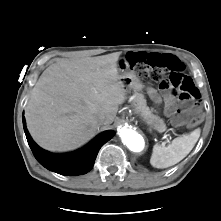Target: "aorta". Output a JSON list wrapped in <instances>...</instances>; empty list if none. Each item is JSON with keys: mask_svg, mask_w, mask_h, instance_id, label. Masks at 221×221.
<instances>
[{"mask_svg": "<svg viewBox=\"0 0 221 221\" xmlns=\"http://www.w3.org/2000/svg\"><path fill=\"white\" fill-rule=\"evenodd\" d=\"M118 134L122 139V142L133 152H140L144 149V139L135 130L126 126L118 130Z\"/></svg>", "mask_w": 221, "mask_h": 221, "instance_id": "aorta-1", "label": "aorta"}]
</instances>
